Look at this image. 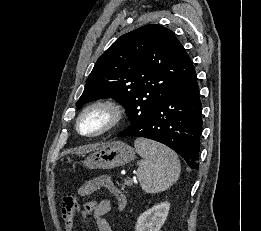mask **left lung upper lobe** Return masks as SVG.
<instances>
[{"label":"left lung upper lobe","mask_w":261,"mask_h":231,"mask_svg":"<svg viewBox=\"0 0 261 231\" xmlns=\"http://www.w3.org/2000/svg\"><path fill=\"white\" fill-rule=\"evenodd\" d=\"M194 70L171 30L145 25L118 38L99 57L76 106L111 97L124 106L131 125L141 123Z\"/></svg>","instance_id":"left-lung-upper-lobe-1"}]
</instances>
